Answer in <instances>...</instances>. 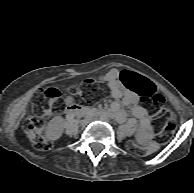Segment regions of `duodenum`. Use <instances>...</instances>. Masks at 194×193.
Segmentation results:
<instances>
[{
	"label": "duodenum",
	"mask_w": 194,
	"mask_h": 193,
	"mask_svg": "<svg viewBox=\"0 0 194 193\" xmlns=\"http://www.w3.org/2000/svg\"><path fill=\"white\" fill-rule=\"evenodd\" d=\"M65 113L71 114V115H95L100 118L105 117V113L98 111V110H92L84 106H79V105H70L65 108Z\"/></svg>",
	"instance_id": "obj_1"
}]
</instances>
